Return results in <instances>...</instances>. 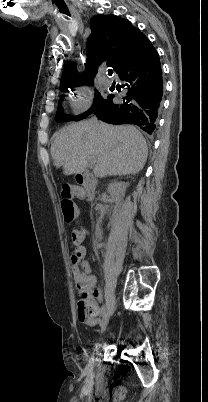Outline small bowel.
<instances>
[{
    "mask_svg": "<svg viewBox=\"0 0 208 402\" xmlns=\"http://www.w3.org/2000/svg\"><path fill=\"white\" fill-rule=\"evenodd\" d=\"M79 240L83 244L87 242L86 232L85 236H81ZM72 273L79 294L86 300L92 302L95 307L96 316L94 322L102 323L105 320L104 311L100 305V301L103 299V293L96 287V277L92 273L90 263L86 261L84 267H72ZM90 290L93 291L96 299H92L89 296ZM77 321L83 330H93L96 327V324L91 321L89 315H79Z\"/></svg>",
    "mask_w": 208,
    "mask_h": 402,
    "instance_id": "1",
    "label": "small bowel"
}]
</instances>
